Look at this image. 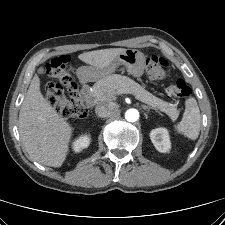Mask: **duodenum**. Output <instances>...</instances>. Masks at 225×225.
I'll return each instance as SVG.
<instances>
[{"label":"duodenum","instance_id":"410a0bca","mask_svg":"<svg viewBox=\"0 0 225 225\" xmlns=\"http://www.w3.org/2000/svg\"><path fill=\"white\" fill-rule=\"evenodd\" d=\"M82 87H83V94H82V97L86 103V105L88 107H92L93 106V99L91 98V96L89 95L88 91H87V88L89 87L88 84H82Z\"/></svg>","mask_w":225,"mask_h":225}]
</instances>
